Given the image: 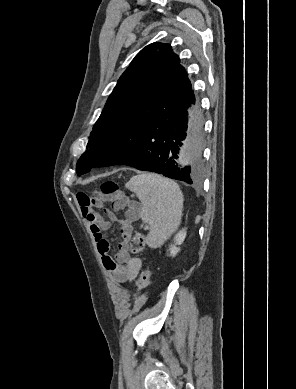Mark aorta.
<instances>
[{
	"label": "aorta",
	"instance_id": "obj_1",
	"mask_svg": "<svg viewBox=\"0 0 296 389\" xmlns=\"http://www.w3.org/2000/svg\"><path fill=\"white\" fill-rule=\"evenodd\" d=\"M188 142L184 143V148L181 150L179 164L187 165L189 162H198L201 158V153L198 149H188Z\"/></svg>",
	"mask_w": 296,
	"mask_h": 389
}]
</instances>
